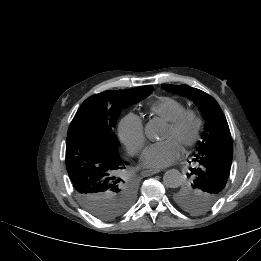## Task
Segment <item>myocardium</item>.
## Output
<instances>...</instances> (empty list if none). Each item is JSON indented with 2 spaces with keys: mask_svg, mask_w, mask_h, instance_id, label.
Returning <instances> with one entry per match:
<instances>
[{
  "mask_svg": "<svg viewBox=\"0 0 261 261\" xmlns=\"http://www.w3.org/2000/svg\"><path fill=\"white\" fill-rule=\"evenodd\" d=\"M188 121L193 122L194 128L191 135L183 142L185 148L194 146L200 138L203 127L201 114L194 109H185L174 119L169 121V126L174 130H180Z\"/></svg>",
  "mask_w": 261,
  "mask_h": 261,
  "instance_id": "f54148a6",
  "label": "myocardium"
}]
</instances>
